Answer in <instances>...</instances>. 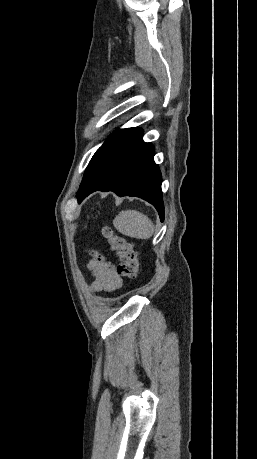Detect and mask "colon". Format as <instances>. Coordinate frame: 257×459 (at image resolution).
I'll use <instances>...</instances> for the list:
<instances>
[{"label": "colon", "mask_w": 257, "mask_h": 459, "mask_svg": "<svg viewBox=\"0 0 257 459\" xmlns=\"http://www.w3.org/2000/svg\"><path fill=\"white\" fill-rule=\"evenodd\" d=\"M104 236L109 241L111 249L119 256L118 274L127 279L136 278L139 271V254L135 244L124 236L114 234L109 228L104 230Z\"/></svg>", "instance_id": "colon-1"}]
</instances>
